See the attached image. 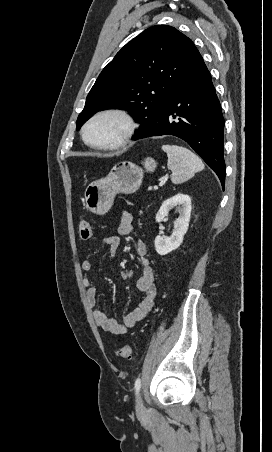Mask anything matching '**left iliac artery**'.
I'll return each mask as SVG.
<instances>
[{"label": "left iliac artery", "mask_w": 272, "mask_h": 452, "mask_svg": "<svg viewBox=\"0 0 272 452\" xmlns=\"http://www.w3.org/2000/svg\"><path fill=\"white\" fill-rule=\"evenodd\" d=\"M140 387H141V379L137 378L135 381V384H134L136 394L139 393Z\"/></svg>", "instance_id": "1"}]
</instances>
